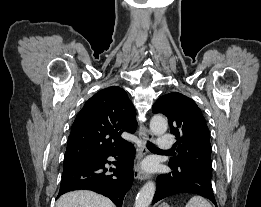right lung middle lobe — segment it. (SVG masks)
<instances>
[{
	"instance_id": "1",
	"label": "right lung middle lobe",
	"mask_w": 261,
	"mask_h": 207,
	"mask_svg": "<svg viewBox=\"0 0 261 207\" xmlns=\"http://www.w3.org/2000/svg\"><path fill=\"white\" fill-rule=\"evenodd\" d=\"M91 159H84V160H78V161H69V162H64V167L66 166H70V165H74V164H79V163H83V162H88Z\"/></svg>"
}]
</instances>
